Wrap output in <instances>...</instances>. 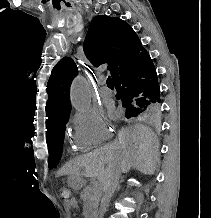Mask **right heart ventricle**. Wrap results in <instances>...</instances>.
Here are the masks:
<instances>
[{
	"instance_id": "obj_1",
	"label": "right heart ventricle",
	"mask_w": 211,
	"mask_h": 218,
	"mask_svg": "<svg viewBox=\"0 0 211 218\" xmlns=\"http://www.w3.org/2000/svg\"><path fill=\"white\" fill-rule=\"evenodd\" d=\"M72 154H78V149H72Z\"/></svg>"
}]
</instances>
